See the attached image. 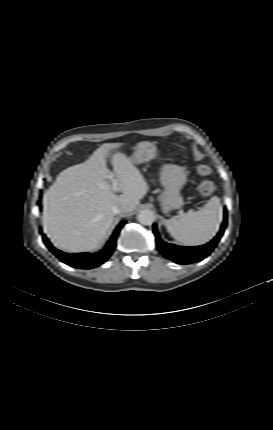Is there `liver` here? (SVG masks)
<instances>
[{"instance_id":"6515ba94","label":"liver","mask_w":273,"mask_h":430,"mask_svg":"<svg viewBox=\"0 0 273 430\" xmlns=\"http://www.w3.org/2000/svg\"><path fill=\"white\" fill-rule=\"evenodd\" d=\"M124 143H105L81 164L63 170L44 196L43 231L59 249L82 252L96 249L114 220L111 208L124 205V213L136 209L148 184L131 158L116 151ZM114 167L116 195L108 182L107 159Z\"/></svg>"}]
</instances>
